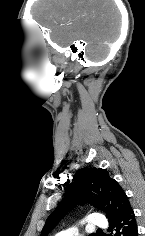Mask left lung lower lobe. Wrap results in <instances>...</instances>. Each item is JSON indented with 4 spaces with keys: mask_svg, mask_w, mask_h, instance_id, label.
Segmentation results:
<instances>
[{
    "mask_svg": "<svg viewBox=\"0 0 145 236\" xmlns=\"http://www.w3.org/2000/svg\"><path fill=\"white\" fill-rule=\"evenodd\" d=\"M108 236H138L137 224L132 207L123 215L109 222Z\"/></svg>",
    "mask_w": 145,
    "mask_h": 236,
    "instance_id": "1",
    "label": "left lung lower lobe"
}]
</instances>
